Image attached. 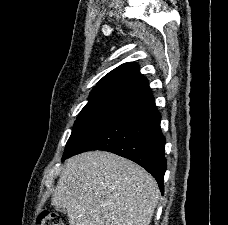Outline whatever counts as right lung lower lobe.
<instances>
[{"mask_svg": "<svg viewBox=\"0 0 228 225\" xmlns=\"http://www.w3.org/2000/svg\"><path fill=\"white\" fill-rule=\"evenodd\" d=\"M160 120L152 92L147 87L93 128L62 161L91 150L112 152L136 162L151 173L163 194L167 164Z\"/></svg>", "mask_w": 228, "mask_h": 225, "instance_id": "obj_1", "label": "right lung lower lobe"}]
</instances>
